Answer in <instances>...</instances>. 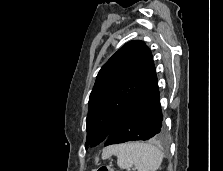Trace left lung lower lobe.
I'll list each match as a JSON object with an SVG mask.
<instances>
[{
    "label": "left lung lower lobe",
    "mask_w": 223,
    "mask_h": 171,
    "mask_svg": "<svg viewBox=\"0 0 223 171\" xmlns=\"http://www.w3.org/2000/svg\"><path fill=\"white\" fill-rule=\"evenodd\" d=\"M165 136L155 69L149 80L114 126L105 146Z\"/></svg>",
    "instance_id": "0a47b994"
}]
</instances>
